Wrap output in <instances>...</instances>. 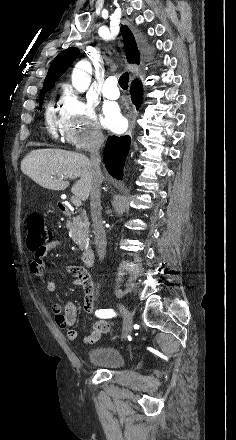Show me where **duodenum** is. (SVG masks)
I'll list each match as a JSON object with an SVG mask.
<instances>
[{"mask_svg": "<svg viewBox=\"0 0 236 440\" xmlns=\"http://www.w3.org/2000/svg\"><path fill=\"white\" fill-rule=\"evenodd\" d=\"M58 206L64 215L67 216L71 215L70 209L63 201H60L58 203ZM94 259H95V254L93 249L90 247L86 248L81 255V261L84 264V266H86L87 268L92 267L94 264Z\"/></svg>", "mask_w": 236, "mask_h": 440, "instance_id": "410a0bca", "label": "duodenum"}]
</instances>
